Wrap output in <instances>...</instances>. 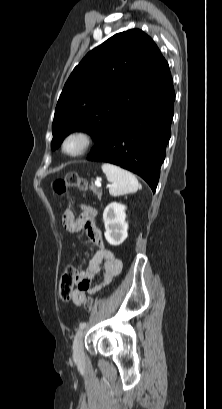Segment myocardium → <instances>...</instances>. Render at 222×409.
<instances>
[{
	"instance_id": "myocardium-1",
	"label": "myocardium",
	"mask_w": 222,
	"mask_h": 409,
	"mask_svg": "<svg viewBox=\"0 0 222 409\" xmlns=\"http://www.w3.org/2000/svg\"><path fill=\"white\" fill-rule=\"evenodd\" d=\"M72 141H77L78 145L74 149L69 148ZM94 143V134L86 128H75L70 130L61 142L62 152L69 157H79L86 153Z\"/></svg>"
}]
</instances>
